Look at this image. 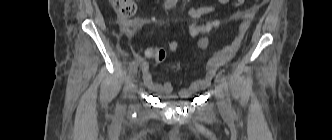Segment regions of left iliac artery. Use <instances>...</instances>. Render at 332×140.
<instances>
[{
	"mask_svg": "<svg viewBox=\"0 0 332 140\" xmlns=\"http://www.w3.org/2000/svg\"><path fill=\"white\" fill-rule=\"evenodd\" d=\"M218 76L221 78V81H222V84H223L224 90H225V92H226L227 102H228V110H229V112L232 114V113H234V109H233V107H232L231 100H230V97H229L228 83H227L226 77H225V75L222 73V71H220V72L218 73Z\"/></svg>",
	"mask_w": 332,
	"mask_h": 140,
	"instance_id": "1",
	"label": "left iliac artery"
}]
</instances>
